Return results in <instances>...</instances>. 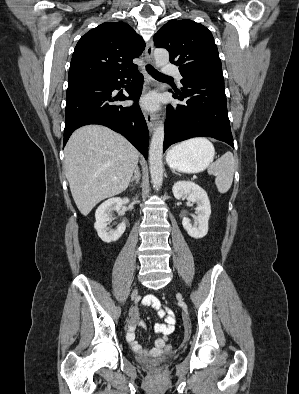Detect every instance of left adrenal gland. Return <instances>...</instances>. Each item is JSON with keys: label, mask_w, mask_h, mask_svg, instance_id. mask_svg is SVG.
<instances>
[{"label": "left adrenal gland", "mask_w": 299, "mask_h": 394, "mask_svg": "<svg viewBox=\"0 0 299 394\" xmlns=\"http://www.w3.org/2000/svg\"><path fill=\"white\" fill-rule=\"evenodd\" d=\"M172 173H176L175 170H172Z\"/></svg>", "instance_id": "a2214340"}]
</instances>
